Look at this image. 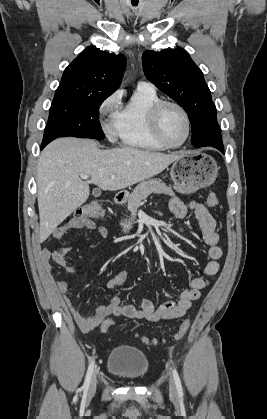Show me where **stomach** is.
I'll list each match as a JSON object with an SVG mask.
<instances>
[{"mask_svg":"<svg viewBox=\"0 0 267 419\" xmlns=\"http://www.w3.org/2000/svg\"><path fill=\"white\" fill-rule=\"evenodd\" d=\"M218 166L215 159L203 152L183 154L172 164L170 175L174 189L182 194L193 193L210 186L216 179ZM128 198V192H124Z\"/></svg>","mask_w":267,"mask_h":419,"instance_id":"1","label":"stomach"}]
</instances>
